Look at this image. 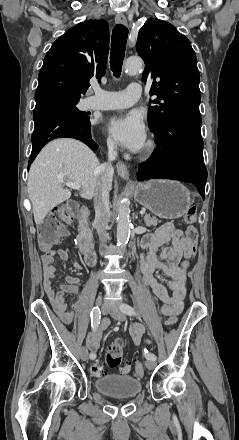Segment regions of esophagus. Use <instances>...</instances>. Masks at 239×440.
<instances>
[{"label": "esophagus", "instance_id": "34e87169", "mask_svg": "<svg viewBox=\"0 0 239 440\" xmlns=\"http://www.w3.org/2000/svg\"><path fill=\"white\" fill-rule=\"evenodd\" d=\"M115 22L120 23L121 25H125V26L127 25V20L123 13H117L115 17ZM116 170L120 175V177H122L124 180L129 181V183H135L129 179L128 167L124 162L118 161L116 163Z\"/></svg>", "mask_w": 239, "mask_h": 440}]
</instances>
